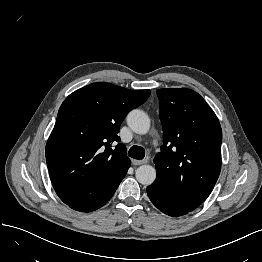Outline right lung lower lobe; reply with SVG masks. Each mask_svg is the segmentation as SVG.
Wrapping results in <instances>:
<instances>
[{
	"instance_id": "right-lung-lower-lobe-1",
	"label": "right lung lower lobe",
	"mask_w": 262,
	"mask_h": 262,
	"mask_svg": "<svg viewBox=\"0 0 262 262\" xmlns=\"http://www.w3.org/2000/svg\"><path fill=\"white\" fill-rule=\"evenodd\" d=\"M107 201L101 204H98V205H93V206H79V207H71V208L74 210L80 211V212H91V211L97 210L98 208L102 207Z\"/></svg>"
}]
</instances>
